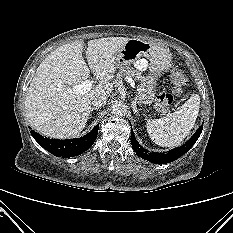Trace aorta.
<instances>
[{
	"label": "aorta",
	"mask_w": 233,
	"mask_h": 233,
	"mask_svg": "<svg viewBox=\"0 0 233 233\" xmlns=\"http://www.w3.org/2000/svg\"><path fill=\"white\" fill-rule=\"evenodd\" d=\"M111 113L117 116H123L127 113V106L123 102H116L111 107Z\"/></svg>",
	"instance_id": "aorta-1"
}]
</instances>
